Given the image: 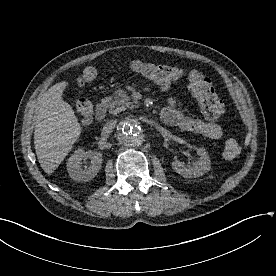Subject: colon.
Here are the masks:
<instances>
[{
    "label": "colon",
    "instance_id": "5ec220e1",
    "mask_svg": "<svg viewBox=\"0 0 276 276\" xmlns=\"http://www.w3.org/2000/svg\"><path fill=\"white\" fill-rule=\"evenodd\" d=\"M132 70L161 87H169L180 79H186L189 87L198 100L205 117L211 121L221 119L224 114V105L218 97L209 78L196 70H183L169 65L148 63L133 60L130 63ZM97 68H86L79 79V84L91 82L97 76ZM76 111L83 122H89L93 114V105L88 99H79L76 102ZM241 152L239 142L234 138L225 141L223 155L227 159L236 158Z\"/></svg>",
    "mask_w": 276,
    "mask_h": 276
}]
</instances>
